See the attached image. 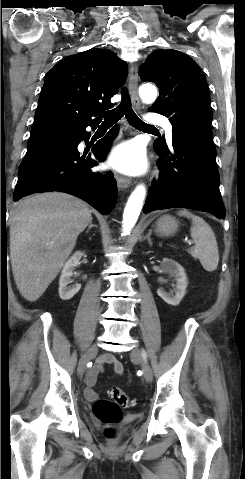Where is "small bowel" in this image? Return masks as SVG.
<instances>
[{"instance_id":"1","label":"small bowel","mask_w":245,"mask_h":479,"mask_svg":"<svg viewBox=\"0 0 245 479\" xmlns=\"http://www.w3.org/2000/svg\"><path fill=\"white\" fill-rule=\"evenodd\" d=\"M104 364L112 365L113 371L116 375H122L124 372L123 365L117 361L113 355H102L99 361L91 367L86 379L85 395L89 400H94L97 398V394L93 390V386L96 383L97 376L102 372Z\"/></svg>"}]
</instances>
